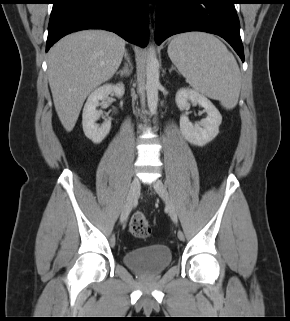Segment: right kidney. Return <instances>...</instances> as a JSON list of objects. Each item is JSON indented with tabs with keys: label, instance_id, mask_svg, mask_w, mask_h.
<instances>
[{
	"label": "right kidney",
	"instance_id": "ca27d5eb",
	"mask_svg": "<svg viewBox=\"0 0 290 321\" xmlns=\"http://www.w3.org/2000/svg\"><path fill=\"white\" fill-rule=\"evenodd\" d=\"M123 83L105 84L95 89L88 97L82 114V126L84 134L92 142L98 144L108 135L111 129V118L101 125H97L96 121L100 118V113L96 109L99 101L105 100L111 93L121 98L124 95Z\"/></svg>",
	"mask_w": 290,
	"mask_h": 321
}]
</instances>
